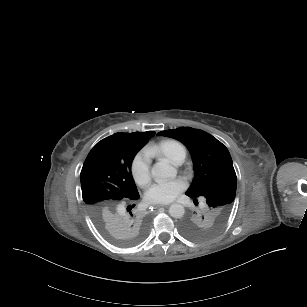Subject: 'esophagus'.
<instances>
[{"mask_svg": "<svg viewBox=\"0 0 307 307\" xmlns=\"http://www.w3.org/2000/svg\"><path fill=\"white\" fill-rule=\"evenodd\" d=\"M153 207L154 208H160V207H163V205L162 204H154Z\"/></svg>", "mask_w": 307, "mask_h": 307, "instance_id": "obj_1", "label": "esophagus"}]
</instances>
